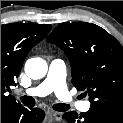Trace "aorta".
<instances>
[{
    "mask_svg": "<svg viewBox=\"0 0 123 123\" xmlns=\"http://www.w3.org/2000/svg\"><path fill=\"white\" fill-rule=\"evenodd\" d=\"M47 70V63L42 58H31L25 63V73L34 80L43 78L46 75Z\"/></svg>",
    "mask_w": 123,
    "mask_h": 123,
    "instance_id": "762f6f07",
    "label": "aorta"
}]
</instances>
